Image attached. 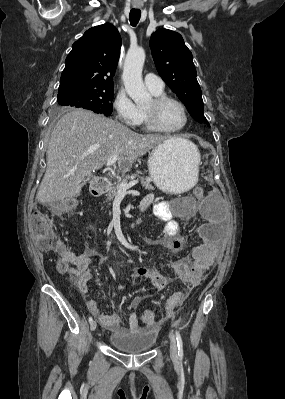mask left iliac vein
<instances>
[{
	"mask_svg": "<svg viewBox=\"0 0 285 399\" xmlns=\"http://www.w3.org/2000/svg\"><path fill=\"white\" fill-rule=\"evenodd\" d=\"M169 339H170V355L172 359L177 358V342L174 334L170 332L169 334Z\"/></svg>",
	"mask_w": 285,
	"mask_h": 399,
	"instance_id": "1",
	"label": "left iliac vein"
}]
</instances>
